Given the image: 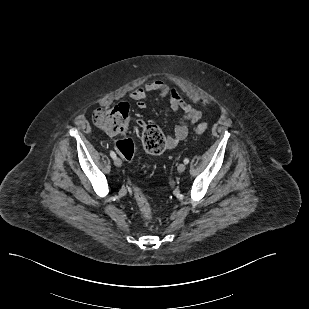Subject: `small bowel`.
Instances as JSON below:
<instances>
[{
	"label": "small bowel",
	"instance_id": "c3829d8e",
	"mask_svg": "<svg viewBox=\"0 0 309 309\" xmlns=\"http://www.w3.org/2000/svg\"><path fill=\"white\" fill-rule=\"evenodd\" d=\"M155 94V99L164 100L169 107L181 114L174 131L166 139V147L172 149L176 147L188 135L192 124L201 118V112L193 108L178 93V91L162 80L149 81L141 87H137L130 92V98L136 102L139 109L146 108V101L151 94ZM139 125H145L143 120Z\"/></svg>",
	"mask_w": 309,
	"mask_h": 309
}]
</instances>
